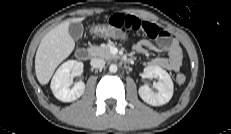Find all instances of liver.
Listing matches in <instances>:
<instances>
[{"mask_svg": "<svg viewBox=\"0 0 231 134\" xmlns=\"http://www.w3.org/2000/svg\"><path fill=\"white\" fill-rule=\"evenodd\" d=\"M82 20L84 18L66 20L42 38L35 56V72L40 84H47L57 66L74 50L75 42L69 34V26Z\"/></svg>", "mask_w": 231, "mask_h": 134, "instance_id": "obj_1", "label": "liver"}]
</instances>
